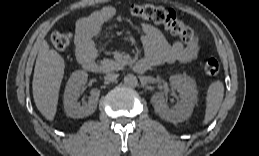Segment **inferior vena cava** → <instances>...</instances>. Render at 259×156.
Masks as SVG:
<instances>
[{"mask_svg": "<svg viewBox=\"0 0 259 156\" xmlns=\"http://www.w3.org/2000/svg\"><path fill=\"white\" fill-rule=\"evenodd\" d=\"M118 78V74L110 73L105 76V80L108 82H114Z\"/></svg>", "mask_w": 259, "mask_h": 156, "instance_id": "602c4592", "label": "inferior vena cava"}]
</instances>
